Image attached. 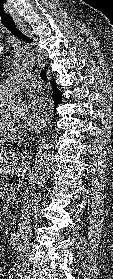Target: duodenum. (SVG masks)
<instances>
[{
  "label": "duodenum",
  "instance_id": "410a0bca",
  "mask_svg": "<svg viewBox=\"0 0 113 279\" xmlns=\"http://www.w3.org/2000/svg\"><path fill=\"white\" fill-rule=\"evenodd\" d=\"M21 237V226L16 224L12 227L11 234H10V241L14 245H18L20 243Z\"/></svg>",
  "mask_w": 113,
  "mask_h": 279
}]
</instances>
